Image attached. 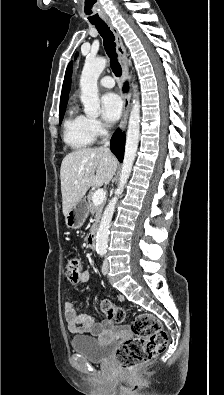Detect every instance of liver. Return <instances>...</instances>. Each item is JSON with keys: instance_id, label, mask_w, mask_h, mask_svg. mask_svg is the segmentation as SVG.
I'll use <instances>...</instances> for the list:
<instances>
[{"instance_id": "1", "label": "liver", "mask_w": 224, "mask_h": 395, "mask_svg": "<svg viewBox=\"0 0 224 395\" xmlns=\"http://www.w3.org/2000/svg\"><path fill=\"white\" fill-rule=\"evenodd\" d=\"M117 164L116 157L107 148H82L68 153L60 169L64 216L91 186L109 184Z\"/></svg>"}]
</instances>
